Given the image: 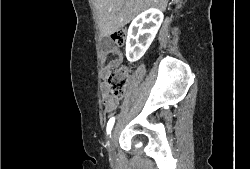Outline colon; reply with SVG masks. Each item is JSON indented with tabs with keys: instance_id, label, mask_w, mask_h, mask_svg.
<instances>
[{
	"instance_id": "colon-1",
	"label": "colon",
	"mask_w": 250,
	"mask_h": 169,
	"mask_svg": "<svg viewBox=\"0 0 250 169\" xmlns=\"http://www.w3.org/2000/svg\"><path fill=\"white\" fill-rule=\"evenodd\" d=\"M126 42V33L119 31L112 34V43L118 47L124 46ZM129 80V71L126 67H116L107 74V85L111 96L115 99L124 97Z\"/></svg>"
}]
</instances>
